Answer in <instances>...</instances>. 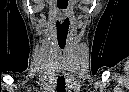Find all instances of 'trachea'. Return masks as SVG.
I'll use <instances>...</instances> for the list:
<instances>
[{"label": "trachea", "mask_w": 129, "mask_h": 92, "mask_svg": "<svg viewBox=\"0 0 129 92\" xmlns=\"http://www.w3.org/2000/svg\"><path fill=\"white\" fill-rule=\"evenodd\" d=\"M65 77L64 75L58 76L57 78V92H65Z\"/></svg>", "instance_id": "trachea-1"}]
</instances>
